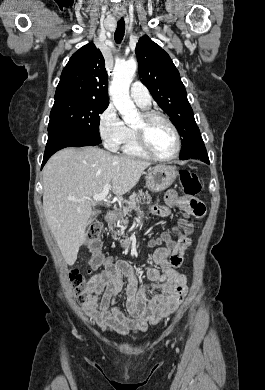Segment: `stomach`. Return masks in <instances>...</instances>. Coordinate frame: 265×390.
Listing matches in <instances>:
<instances>
[{
    "instance_id": "obj_1",
    "label": "stomach",
    "mask_w": 265,
    "mask_h": 390,
    "mask_svg": "<svg viewBox=\"0 0 265 390\" xmlns=\"http://www.w3.org/2000/svg\"><path fill=\"white\" fill-rule=\"evenodd\" d=\"M178 175L175 166H156L148 171L146 186L152 192H160L172 185Z\"/></svg>"
}]
</instances>
